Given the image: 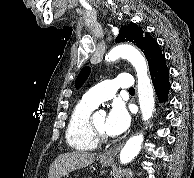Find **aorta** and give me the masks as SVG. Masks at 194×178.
Here are the masks:
<instances>
[{
	"label": "aorta",
	"mask_w": 194,
	"mask_h": 178,
	"mask_svg": "<svg viewBox=\"0 0 194 178\" xmlns=\"http://www.w3.org/2000/svg\"><path fill=\"white\" fill-rule=\"evenodd\" d=\"M119 58L129 61L136 70L142 119L147 121L152 117L154 111V91L148 76L147 62L139 50L129 44H120L112 48L106 60L110 62ZM143 140L142 134L134 135L127 140L119 155L122 164L129 163L138 155Z\"/></svg>",
	"instance_id": "aorta-1"
}]
</instances>
